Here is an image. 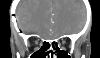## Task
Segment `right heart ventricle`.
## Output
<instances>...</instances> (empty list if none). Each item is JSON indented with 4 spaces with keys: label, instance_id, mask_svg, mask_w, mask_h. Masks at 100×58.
Listing matches in <instances>:
<instances>
[{
    "label": "right heart ventricle",
    "instance_id": "right-heart-ventricle-1",
    "mask_svg": "<svg viewBox=\"0 0 100 58\" xmlns=\"http://www.w3.org/2000/svg\"><path fill=\"white\" fill-rule=\"evenodd\" d=\"M38 6H42V7H44L43 3H38Z\"/></svg>",
    "mask_w": 100,
    "mask_h": 58
}]
</instances>
